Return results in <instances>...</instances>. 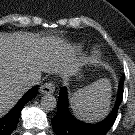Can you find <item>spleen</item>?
I'll return each instance as SVG.
<instances>
[{"mask_svg":"<svg viewBox=\"0 0 135 135\" xmlns=\"http://www.w3.org/2000/svg\"><path fill=\"white\" fill-rule=\"evenodd\" d=\"M111 90V82L107 78L79 89L71 101L74 113L84 121L102 119L110 108Z\"/></svg>","mask_w":135,"mask_h":135,"instance_id":"3e777b00","label":"spleen"}]
</instances>
